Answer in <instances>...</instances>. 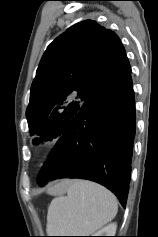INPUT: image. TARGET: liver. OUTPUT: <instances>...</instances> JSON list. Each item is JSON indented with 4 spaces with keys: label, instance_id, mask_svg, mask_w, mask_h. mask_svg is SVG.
<instances>
[{
    "label": "liver",
    "instance_id": "6515ba94",
    "mask_svg": "<svg viewBox=\"0 0 158 237\" xmlns=\"http://www.w3.org/2000/svg\"><path fill=\"white\" fill-rule=\"evenodd\" d=\"M69 183H70V182H62V183L58 184L57 186H55V188H53L52 190H50V192H54V193L64 192V188H65Z\"/></svg>",
    "mask_w": 158,
    "mask_h": 237
}]
</instances>
